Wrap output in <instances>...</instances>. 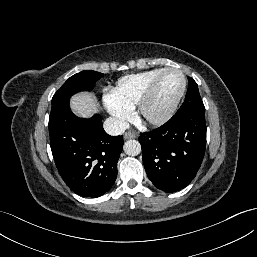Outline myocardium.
<instances>
[{"label":"myocardium","instance_id":"f54148a6","mask_svg":"<svg viewBox=\"0 0 257 257\" xmlns=\"http://www.w3.org/2000/svg\"><path fill=\"white\" fill-rule=\"evenodd\" d=\"M169 72H177L182 76V88L177 96V98L172 102V104L166 108L161 114L157 116L148 115L149 106L157 92L158 86L162 78ZM187 88V78L184 72L178 68H165L160 74H158L152 81L146 92L140 98L138 102V118L144 124L148 126H161L169 121L174 113L176 112Z\"/></svg>","mask_w":257,"mask_h":257}]
</instances>
